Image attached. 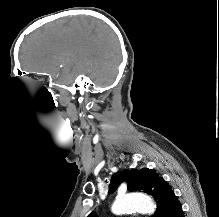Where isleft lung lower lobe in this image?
I'll return each instance as SVG.
<instances>
[{
  "label": "left lung lower lobe",
  "mask_w": 219,
  "mask_h": 217,
  "mask_svg": "<svg viewBox=\"0 0 219 217\" xmlns=\"http://www.w3.org/2000/svg\"><path fill=\"white\" fill-rule=\"evenodd\" d=\"M169 217H185L180 202L174 206Z\"/></svg>",
  "instance_id": "1"
}]
</instances>
